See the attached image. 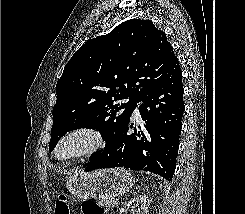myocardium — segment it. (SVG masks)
Returning <instances> with one entry per match:
<instances>
[{
	"instance_id": "1",
	"label": "myocardium",
	"mask_w": 245,
	"mask_h": 214,
	"mask_svg": "<svg viewBox=\"0 0 245 214\" xmlns=\"http://www.w3.org/2000/svg\"><path fill=\"white\" fill-rule=\"evenodd\" d=\"M77 135L87 136L90 140L89 145L85 149L74 155L61 157L59 155V149L62 146V144L71 137ZM105 144V136L99 129L91 126H79L67 131L60 137L54 148V156L56 159L62 162H74L92 157L93 155L98 153L105 146Z\"/></svg>"
}]
</instances>
